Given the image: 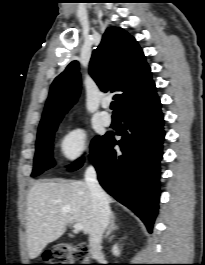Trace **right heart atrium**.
<instances>
[{
	"instance_id": "obj_1",
	"label": "right heart atrium",
	"mask_w": 205,
	"mask_h": 265,
	"mask_svg": "<svg viewBox=\"0 0 205 265\" xmlns=\"http://www.w3.org/2000/svg\"><path fill=\"white\" fill-rule=\"evenodd\" d=\"M87 148V133L81 126L69 129L61 138L59 149L61 155L68 161L79 160Z\"/></svg>"
}]
</instances>
